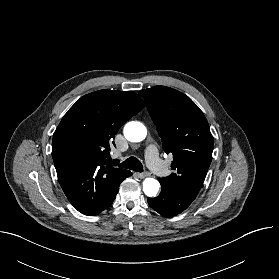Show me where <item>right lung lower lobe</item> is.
<instances>
[{"instance_id":"1","label":"right lung lower lobe","mask_w":279,"mask_h":279,"mask_svg":"<svg viewBox=\"0 0 279 279\" xmlns=\"http://www.w3.org/2000/svg\"><path fill=\"white\" fill-rule=\"evenodd\" d=\"M131 176V172L129 174H127L123 179H121L120 181H118L109 191L107 197L105 198V200L103 201V203L97 207L95 210L86 213L85 215H89V216H93V215H97L98 213H100L101 211H103L104 209L108 208L114 201L117 192L119 191V185L120 183L127 177Z\"/></svg>"}]
</instances>
